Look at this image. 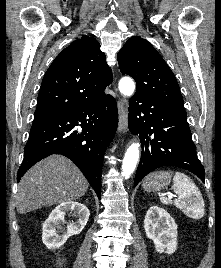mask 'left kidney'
<instances>
[{
  "label": "left kidney",
  "mask_w": 221,
  "mask_h": 268,
  "mask_svg": "<svg viewBox=\"0 0 221 268\" xmlns=\"http://www.w3.org/2000/svg\"><path fill=\"white\" fill-rule=\"evenodd\" d=\"M144 229L147 238L154 242L159 253L172 254L177 249V225L170 214L158 206L149 208Z\"/></svg>",
  "instance_id": "1"
}]
</instances>
